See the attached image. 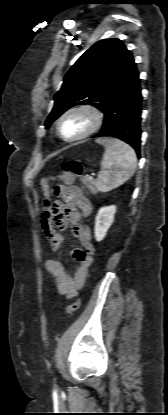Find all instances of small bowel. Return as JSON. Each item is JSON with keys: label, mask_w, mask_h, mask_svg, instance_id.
<instances>
[{"label": "small bowel", "mask_w": 168, "mask_h": 415, "mask_svg": "<svg viewBox=\"0 0 168 415\" xmlns=\"http://www.w3.org/2000/svg\"><path fill=\"white\" fill-rule=\"evenodd\" d=\"M53 196L60 198L52 203L53 223L57 224L58 228H67L71 225L72 234L80 243L81 248L72 251L73 257L78 262L74 274H69L63 263L55 257L47 260L46 269L54 279L58 293L72 298L84 285L93 262L95 247L92 243L90 228L79 223L82 217L91 214L92 204L77 186H57L53 189ZM42 227L51 250L57 252L63 243L62 234L53 227L52 220L47 222L42 220Z\"/></svg>", "instance_id": "c3829d8e"}]
</instances>
